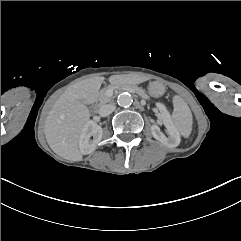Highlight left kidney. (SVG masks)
Wrapping results in <instances>:
<instances>
[{"instance_id":"left-kidney-1","label":"left kidney","mask_w":241,"mask_h":241,"mask_svg":"<svg viewBox=\"0 0 241 241\" xmlns=\"http://www.w3.org/2000/svg\"><path fill=\"white\" fill-rule=\"evenodd\" d=\"M156 106L161 111V114L158 118V123L164 124L168 137L161 132L158 125H152L151 132L153 137L169 148L177 147L181 141L179 131L171 120L170 114L166 110V107L162 103H156Z\"/></svg>"}]
</instances>
